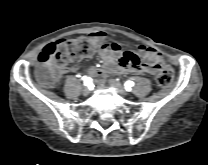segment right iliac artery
Masks as SVG:
<instances>
[{
	"instance_id": "1",
	"label": "right iliac artery",
	"mask_w": 208,
	"mask_h": 165,
	"mask_svg": "<svg viewBox=\"0 0 208 165\" xmlns=\"http://www.w3.org/2000/svg\"><path fill=\"white\" fill-rule=\"evenodd\" d=\"M92 84V79L90 77H84V85L90 86Z\"/></svg>"
}]
</instances>
